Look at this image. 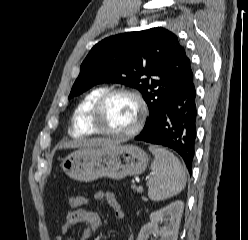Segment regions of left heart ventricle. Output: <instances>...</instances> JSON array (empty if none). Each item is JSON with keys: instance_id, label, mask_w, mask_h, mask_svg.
Wrapping results in <instances>:
<instances>
[{"instance_id": "b2bd125f", "label": "left heart ventricle", "mask_w": 248, "mask_h": 240, "mask_svg": "<svg viewBox=\"0 0 248 240\" xmlns=\"http://www.w3.org/2000/svg\"><path fill=\"white\" fill-rule=\"evenodd\" d=\"M139 116L137 102L128 95L112 97L103 109L101 126L114 132H126L133 128Z\"/></svg>"}]
</instances>
